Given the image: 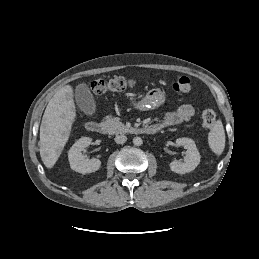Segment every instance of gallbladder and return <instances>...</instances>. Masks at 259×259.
<instances>
[{
	"instance_id": "obj_1",
	"label": "gallbladder",
	"mask_w": 259,
	"mask_h": 259,
	"mask_svg": "<svg viewBox=\"0 0 259 259\" xmlns=\"http://www.w3.org/2000/svg\"><path fill=\"white\" fill-rule=\"evenodd\" d=\"M75 100L79 109L86 115L92 116L96 113V102L89 87L85 83L76 86Z\"/></svg>"
}]
</instances>
